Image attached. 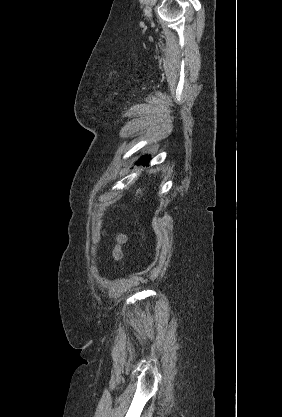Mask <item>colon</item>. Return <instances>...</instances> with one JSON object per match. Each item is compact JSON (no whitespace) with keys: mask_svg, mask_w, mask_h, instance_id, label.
<instances>
[{"mask_svg":"<svg viewBox=\"0 0 282 417\" xmlns=\"http://www.w3.org/2000/svg\"><path fill=\"white\" fill-rule=\"evenodd\" d=\"M126 241L127 237L124 233H119L118 235H116L112 246V254L114 259H118L121 256L122 247L124 246Z\"/></svg>","mask_w":282,"mask_h":417,"instance_id":"obj_1","label":"colon"}]
</instances>
